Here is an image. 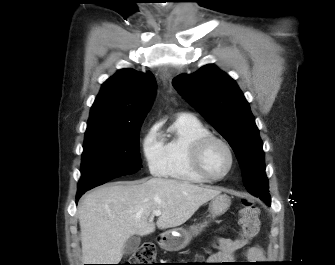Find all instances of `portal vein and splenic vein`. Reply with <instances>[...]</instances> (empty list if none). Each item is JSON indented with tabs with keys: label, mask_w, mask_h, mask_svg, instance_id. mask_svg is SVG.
I'll use <instances>...</instances> for the list:
<instances>
[{
	"label": "portal vein and splenic vein",
	"mask_w": 335,
	"mask_h": 265,
	"mask_svg": "<svg viewBox=\"0 0 335 265\" xmlns=\"http://www.w3.org/2000/svg\"><path fill=\"white\" fill-rule=\"evenodd\" d=\"M161 215V211L160 210H156L153 212V216H160Z\"/></svg>",
	"instance_id": "18ae733b"
}]
</instances>
